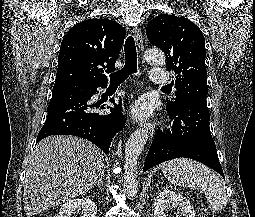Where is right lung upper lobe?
I'll return each instance as SVG.
<instances>
[{
  "mask_svg": "<svg viewBox=\"0 0 255 217\" xmlns=\"http://www.w3.org/2000/svg\"><path fill=\"white\" fill-rule=\"evenodd\" d=\"M126 30L109 19H88L64 36L58 56L54 85L61 83L107 84L104 74L115 70V62Z\"/></svg>",
  "mask_w": 255,
  "mask_h": 217,
  "instance_id": "1",
  "label": "right lung upper lobe"
}]
</instances>
